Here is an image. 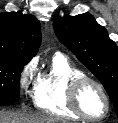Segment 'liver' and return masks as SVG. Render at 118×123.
Instances as JSON below:
<instances>
[{"label": "liver", "instance_id": "6515ba94", "mask_svg": "<svg viewBox=\"0 0 118 123\" xmlns=\"http://www.w3.org/2000/svg\"><path fill=\"white\" fill-rule=\"evenodd\" d=\"M0 123H66L64 120L44 114H27L13 111H0Z\"/></svg>", "mask_w": 118, "mask_h": 123}]
</instances>
